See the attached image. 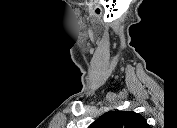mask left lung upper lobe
Here are the masks:
<instances>
[{
    "label": "left lung upper lobe",
    "mask_w": 177,
    "mask_h": 128,
    "mask_svg": "<svg viewBox=\"0 0 177 128\" xmlns=\"http://www.w3.org/2000/svg\"><path fill=\"white\" fill-rule=\"evenodd\" d=\"M94 128H147L146 120L133 111H110L92 123Z\"/></svg>",
    "instance_id": "1"
}]
</instances>
